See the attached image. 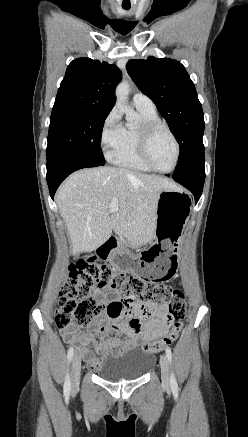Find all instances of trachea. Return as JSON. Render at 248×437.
<instances>
[{
  "instance_id": "1",
  "label": "trachea",
  "mask_w": 248,
  "mask_h": 437,
  "mask_svg": "<svg viewBox=\"0 0 248 437\" xmlns=\"http://www.w3.org/2000/svg\"><path fill=\"white\" fill-rule=\"evenodd\" d=\"M124 9H125V10H129L130 8H129V7H124Z\"/></svg>"
}]
</instances>
